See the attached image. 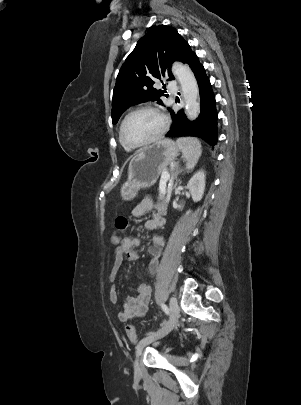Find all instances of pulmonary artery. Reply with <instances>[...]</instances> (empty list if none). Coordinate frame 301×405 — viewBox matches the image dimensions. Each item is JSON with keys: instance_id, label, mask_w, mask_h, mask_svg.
Instances as JSON below:
<instances>
[{"instance_id": "1", "label": "pulmonary artery", "mask_w": 301, "mask_h": 405, "mask_svg": "<svg viewBox=\"0 0 301 405\" xmlns=\"http://www.w3.org/2000/svg\"><path fill=\"white\" fill-rule=\"evenodd\" d=\"M168 89H169L171 92H175V91H176V84H175V82L170 81V82L168 83Z\"/></svg>"}]
</instances>
